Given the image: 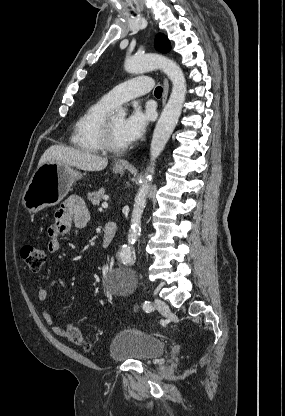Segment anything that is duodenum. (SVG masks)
<instances>
[{
    "instance_id": "duodenum-1",
    "label": "duodenum",
    "mask_w": 285,
    "mask_h": 416,
    "mask_svg": "<svg viewBox=\"0 0 285 416\" xmlns=\"http://www.w3.org/2000/svg\"><path fill=\"white\" fill-rule=\"evenodd\" d=\"M117 232V225L113 221H108L104 225L102 246L103 248H109L112 245L113 239Z\"/></svg>"
}]
</instances>
